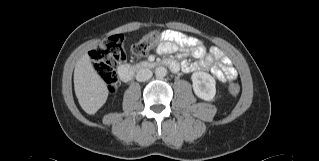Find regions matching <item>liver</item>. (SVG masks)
I'll return each instance as SVG.
<instances>
[{"instance_id": "obj_1", "label": "liver", "mask_w": 319, "mask_h": 161, "mask_svg": "<svg viewBox=\"0 0 319 161\" xmlns=\"http://www.w3.org/2000/svg\"><path fill=\"white\" fill-rule=\"evenodd\" d=\"M74 89L80 106L88 114H95L107 100V84L94 69L88 54L76 63Z\"/></svg>"}]
</instances>
